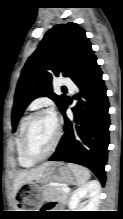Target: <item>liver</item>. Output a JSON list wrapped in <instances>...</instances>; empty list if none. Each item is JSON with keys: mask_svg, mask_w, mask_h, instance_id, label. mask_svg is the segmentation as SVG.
<instances>
[{"mask_svg": "<svg viewBox=\"0 0 123 219\" xmlns=\"http://www.w3.org/2000/svg\"><path fill=\"white\" fill-rule=\"evenodd\" d=\"M51 163L52 162H46V163H44L36 168H32L30 170H25V171H22L19 174H17V176L15 177V179L13 181L12 199L13 200L15 199L19 189L23 185L40 177Z\"/></svg>", "mask_w": 123, "mask_h": 219, "instance_id": "obj_1", "label": "liver"}]
</instances>
